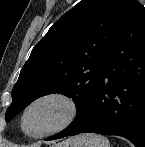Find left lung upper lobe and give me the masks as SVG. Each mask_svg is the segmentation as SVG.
Segmentation results:
<instances>
[{"instance_id":"5c2ea615","label":"left lung upper lobe","mask_w":145,"mask_h":147,"mask_svg":"<svg viewBox=\"0 0 145 147\" xmlns=\"http://www.w3.org/2000/svg\"><path fill=\"white\" fill-rule=\"evenodd\" d=\"M131 0H82L63 15L33 48L12 90L9 122L35 99L51 93L73 98L76 128L95 93L106 59Z\"/></svg>"}]
</instances>
